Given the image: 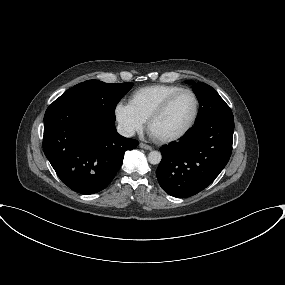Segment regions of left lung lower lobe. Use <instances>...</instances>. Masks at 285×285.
<instances>
[{"label":"left lung lower lobe","mask_w":285,"mask_h":285,"mask_svg":"<svg viewBox=\"0 0 285 285\" xmlns=\"http://www.w3.org/2000/svg\"><path fill=\"white\" fill-rule=\"evenodd\" d=\"M233 118H216L192 127L179 142L162 148L156 176L171 196L186 198L209 186L229 161Z\"/></svg>","instance_id":"left-lung-lower-lobe-1"}]
</instances>
